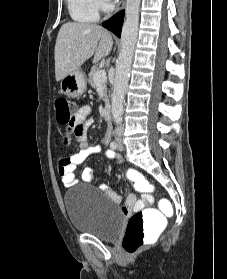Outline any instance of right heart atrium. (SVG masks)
Masks as SVG:
<instances>
[{"instance_id": "1", "label": "right heart atrium", "mask_w": 227, "mask_h": 279, "mask_svg": "<svg viewBox=\"0 0 227 279\" xmlns=\"http://www.w3.org/2000/svg\"><path fill=\"white\" fill-rule=\"evenodd\" d=\"M91 3L97 12L104 11L106 9L105 0H91Z\"/></svg>"}]
</instances>
